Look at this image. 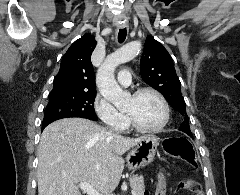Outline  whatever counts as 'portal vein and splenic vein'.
<instances>
[{
  "instance_id": "portal-vein-and-splenic-vein-1",
  "label": "portal vein and splenic vein",
  "mask_w": 240,
  "mask_h": 195,
  "mask_svg": "<svg viewBox=\"0 0 240 195\" xmlns=\"http://www.w3.org/2000/svg\"><path fill=\"white\" fill-rule=\"evenodd\" d=\"M80 189H83V191H86V193H88V195H104V193H100V191H97V189H95V187H93V185H91V183H87V181H80V183H78ZM134 195V193H133Z\"/></svg>"
}]
</instances>
